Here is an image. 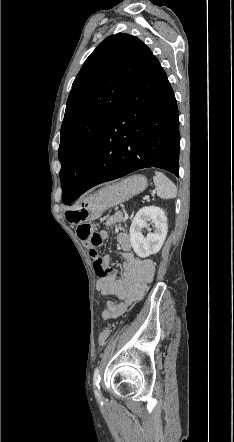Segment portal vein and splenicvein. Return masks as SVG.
Instances as JSON below:
<instances>
[{"mask_svg": "<svg viewBox=\"0 0 234 442\" xmlns=\"http://www.w3.org/2000/svg\"><path fill=\"white\" fill-rule=\"evenodd\" d=\"M152 194H155V190L152 192ZM149 197H150L149 195H146L143 197V200H147Z\"/></svg>", "mask_w": 234, "mask_h": 442, "instance_id": "1", "label": "portal vein and splenic vein"}]
</instances>
